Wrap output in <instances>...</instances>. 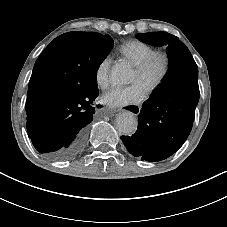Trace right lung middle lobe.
Segmentation results:
<instances>
[{
    "label": "right lung middle lobe",
    "mask_w": 227,
    "mask_h": 227,
    "mask_svg": "<svg viewBox=\"0 0 227 227\" xmlns=\"http://www.w3.org/2000/svg\"><path fill=\"white\" fill-rule=\"evenodd\" d=\"M113 47L109 35L91 32H69L55 38L41 53L77 74L72 88L74 95L97 91V71Z\"/></svg>",
    "instance_id": "right-lung-middle-lobe-1"
}]
</instances>
